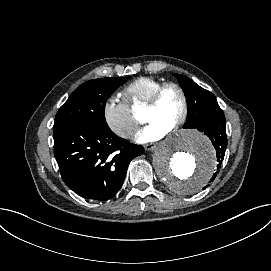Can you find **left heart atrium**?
Returning <instances> with one entry per match:
<instances>
[{
    "label": "left heart atrium",
    "instance_id": "1",
    "mask_svg": "<svg viewBox=\"0 0 271 271\" xmlns=\"http://www.w3.org/2000/svg\"><path fill=\"white\" fill-rule=\"evenodd\" d=\"M170 131V129L165 128L158 123L152 122L139 129L134 134L133 139L139 144L153 143L167 136Z\"/></svg>",
    "mask_w": 271,
    "mask_h": 271
}]
</instances>
